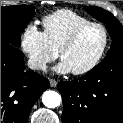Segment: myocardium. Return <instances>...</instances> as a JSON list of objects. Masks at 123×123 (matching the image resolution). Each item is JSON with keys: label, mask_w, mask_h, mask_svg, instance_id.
<instances>
[{"label": "myocardium", "mask_w": 123, "mask_h": 123, "mask_svg": "<svg viewBox=\"0 0 123 123\" xmlns=\"http://www.w3.org/2000/svg\"><path fill=\"white\" fill-rule=\"evenodd\" d=\"M91 27H98L101 29V31L103 32V36H104V41H103V45L99 51V53L97 54V56L93 59V61L88 64L86 67L82 68V69H78V70H73L71 71L74 75H84L89 73L90 71H92L103 59L106 50L108 48V44H109V32L108 29L106 28V26L102 23L99 22H89L87 24H84L80 27H78L66 40L65 42L59 47L58 49V56L59 58L62 57V54L70 49L78 40V38L81 36V34L86 31L87 29L91 28Z\"/></svg>", "instance_id": "myocardium-1"}]
</instances>
